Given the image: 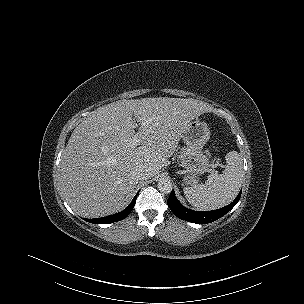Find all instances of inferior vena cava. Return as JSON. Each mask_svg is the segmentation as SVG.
<instances>
[{
	"instance_id": "602c4592",
	"label": "inferior vena cava",
	"mask_w": 304,
	"mask_h": 304,
	"mask_svg": "<svg viewBox=\"0 0 304 304\" xmlns=\"http://www.w3.org/2000/svg\"><path fill=\"white\" fill-rule=\"evenodd\" d=\"M136 177L139 180H146V179L150 178V172L147 169L138 168L136 170Z\"/></svg>"
}]
</instances>
